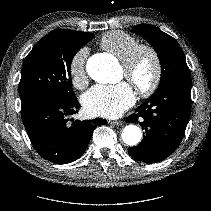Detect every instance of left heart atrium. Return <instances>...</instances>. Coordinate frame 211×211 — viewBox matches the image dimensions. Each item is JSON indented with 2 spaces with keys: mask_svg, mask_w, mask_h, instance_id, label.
<instances>
[{
  "mask_svg": "<svg viewBox=\"0 0 211 211\" xmlns=\"http://www.w3.org/2000/svg\"><path fill=\"white\" fill-rule=\"evenodd\" d=\"M136 100L131 85L120 82L116 85H96L82 97L84 111L89 116L118 117Z\"/></svg>",
  "mask_w": 211,
  "mask_h": 211,
  "instance_id": "obj_1",
  "label": "left heart atrium"
}]
</instances>
